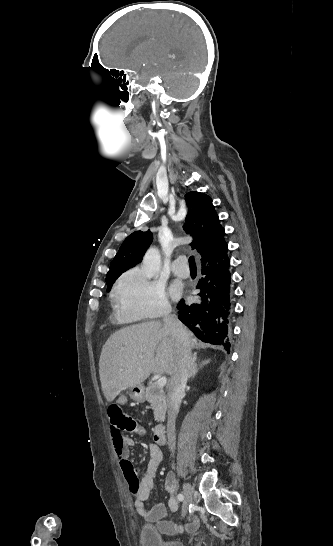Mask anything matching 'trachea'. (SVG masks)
<instances>
[{
  "mask_svg": "<svg viewBox=\"0 0 333 546\" xmlns=\"http://www.w3.org/2000/svg\"><path fill=\"white\" fill-rule=\"evenodd\" d=\"M189 265H190V268H196V263H195L194 256H191L189 258Z\"/></svg>",
  "mask_w": 333,
  "mask_h": 546,
  "instance_id": "1",
  "label": "trachea"
}]
</instances>
